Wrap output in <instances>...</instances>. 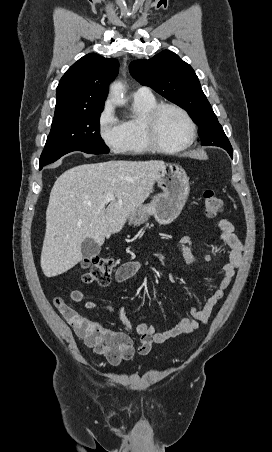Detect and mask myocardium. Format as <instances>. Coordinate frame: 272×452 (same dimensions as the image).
Here are the masks:
<instances>
[{
	"label": "myocardium",
	"instance_id": "1",
	"mask_svg": "<svg viewBox=\"0 0 272 452\" xmlns=\"http://www.w3.org/2000/svg\"><path fill=\"white\" fill-rule=\"evenodd\" d=\"M165 109H173L179 112L188 125L189 133L187 139L177 146L168 147L162 144L157 136L158 118ZM144 135L152 150L163 153H177L188 148L193 143L196 137V125L190 114L183 107L174 103H160L147 114L144 122Z\"/></svg>",
	"mask_w": 272,
	"mask_h": 452
}]
</instances>
